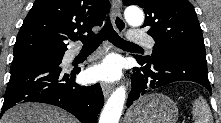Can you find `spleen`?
<instances>
[{"label": "spleen", "mask_w": 221, "mask_h": 123, "mask_svg": "<svg viewBox=\"0 0 221 123\" xmlns=\"http://www.w3.org/2000/svg\"><path fill=\"white\" fill-rule=\"evenodd\" d=\"M192 114L195 123H213L210 108L203 97H199L194 101Z\"/></svg>", "instance_id": "1"}]
</instances>
